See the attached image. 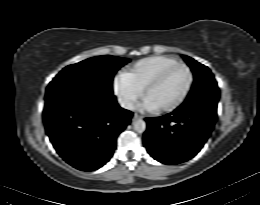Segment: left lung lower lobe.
I'll return each mask as SVG.
<instances>
[{"instance_id":"obj_1","label":"left lung lower lobe","mask_w":260,"mask_h":205,"mask_svg":"<svg viewBox=\"0 0 260 205\" xmlns=\"http://www.w3.org/2000/svg\"><path fill=\"white\" fill-rule=\"evenodd\" d=\"M215 120V113L201 107L177 108L162 117L147 118L144 146L161 163L185 162L203 147Z\"/></svg>"}]
</instances>
